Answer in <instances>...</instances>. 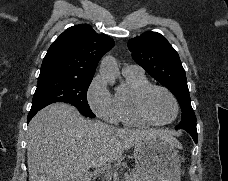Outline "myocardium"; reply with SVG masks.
<instances>
[{
	"mask_svg": "<svg viewBox=\"0 0 228 181\" xmlns=\"http://www.w3.org/2000/svg\"><path fill=\"white\" fill-rule=\"evenodd\" d=\"M151 90L161 91L169 98V100L171 102V106H172V117L171 118L162 120V121H154L148 116V114L145 110L143 100H144L145 95ZM133 109H134L136 116L143 122L151 124V125H163V124L169 123L175 117V115L177 113V104H176L174 97L170 94L169 91H167L166 89H164L160 86L149 84V85L141 88L138 91L136 99L133 103Z\"/></svg>",
	"mask_w": 228,
	"mask_h": 181,
	"instance_id": "obj_1",
	"label": "myocardium"
}]
</instances>
